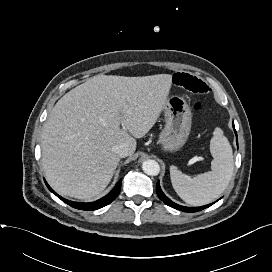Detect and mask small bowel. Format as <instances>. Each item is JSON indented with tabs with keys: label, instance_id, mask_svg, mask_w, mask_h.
I'll return each instance as SVG.
<instances>
[{
	"label": "small bowel",
	"instance_id": "small-bowel-1",
	"mask_svg": "<svg viewBox=\"0 0 272 272\" xmlns=\"http://www.w3.org/2000/svg\"><path fill=\"white\" fill-rule=\"evenodd\" d=\"M171 81L174 86L191 94L206 95L210 92V88L206 82L188 73H175L172 75Z\"/></svg>",
	"mask_w": 272,
	"mask_h": 272
}]
</instances>
